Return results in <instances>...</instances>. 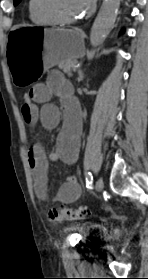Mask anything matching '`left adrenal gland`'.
Returning a JSON list of instances; mask_svg holds the SVG:
<instances>
[{
	"instance_id": "a2214340",
	"label": "left adrenal gland",
	"mask_w": 148,
	"mask_h": 279,
	"mask_svg": "<svg viewBox=\"0 0 148 279\" xmlns=\"http://www.w3.org/2000/svg\"><path fill=\"white\" fill-rule=\"evenodd\" d=\"M77 80H78V82H81L84 80V75H83L82 71H79V76H78Z\"/></svg>"
}]
</instances>
